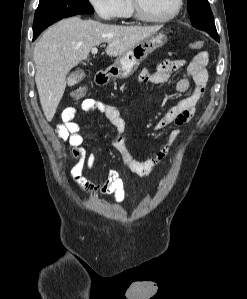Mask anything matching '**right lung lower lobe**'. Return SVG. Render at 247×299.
I'll return each mask as SVG.
<instances>
[{
	"label": "right lung lower lobe",
	"mask_w": 247,
	"mask_h": 299,
	"mask_svg": "<svg viewBox=\"0 0 247 299\" xmlns=\"http://www.w3.org/2000/svg\"><path fill=\"white\" fill-rule=\"evenodd\" d=\"M38 35H33V40H35L37 38Z\"/></svg>",
	"instance_id": "right-lung-lower-lobe-1"
}]
</instances>
